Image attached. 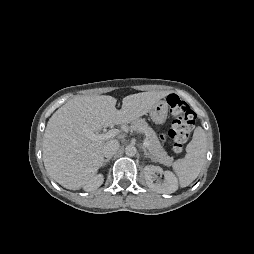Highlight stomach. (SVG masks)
I'll return each mask as SVG.
<instances>
[{"instance_id":"0dacf381","label":"stomach","mask_w":254,"mask_h":254,"mask_svg":"<svg viewBox=\"0 0 254 254\" xmlns=\"http://www.w3.org/2000/svg\"><path fill=\"white\" fill-rule=\"evenodd\" d=\"M150 117L156 124H163L167 119L168 103L165 100L158 101L149 111Z\"/></svg>"}]
</instances>
